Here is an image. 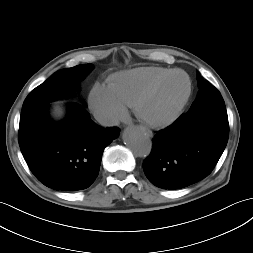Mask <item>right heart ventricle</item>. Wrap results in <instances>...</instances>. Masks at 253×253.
<instances>
[{
    "mask_svg": "<svg viewBox=\"0 0 253 253\" xmlns=\"http://www.w3.org/2000/svg\"><path fill=\"white\" fill-rule=\"evenodd\" d=\"M171 71L172 69L156 66L123 71L109 79V87L125 106L132 108L149 86Z\"/></svg>",
    "mask_w": 253,
    "mask_h": 253,
    "instance_id": "obj_1",
    "label": "right heart ventricle"
}]
</instances>
